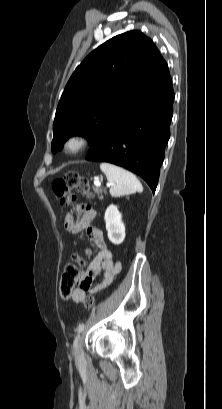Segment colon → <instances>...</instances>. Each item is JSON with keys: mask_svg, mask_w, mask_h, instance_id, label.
I'll return each instance as SVG.
<instances>
[{"mask_svg": "<svg viewBox=\"0 0 222 409\" xmlns=\"http://www.w3.org/2000/svg\"><path fill=\"white\" fill-rule=\"evenodd\" d=\"M52 190L60 200L63 207H73L78 216L83 215L84 208L75 205V197L72 191H78L86 196H92L89 182L76 172H68L63 177L57 178L52 183ZM85 260L82 255L75 254L72 263H69L64 270L60 281V294L63 298H69L76 286L74 280L76 279L74 271L82 269ZM94 305V297L87 296L84 307L87 311H91Z\"/></svg>", "mask_w": 222, "mask_h": 409, "instance_id": "colon-1", "label": "colon"}]
</instances>
